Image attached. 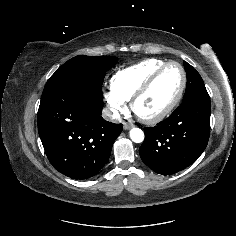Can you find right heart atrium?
Instances as JSON below:
<instances>
[{
  "label": "right heart atrium",
  "mask_w": 236,
  "mask_h": 236,
  "mask_svg": "<svg viewBox=\"0 0 236 236\" xmlns=\"http://www.w3.org/2000/svg\"><path fill=\"white\" fill-rule=\"evenodd\" d=\"M104 99L113 117L117 118L127 109V103L119 97L112 88L104 93Z\"/></svg>",
  "instance_id": "right-heart-atrium-1"
}]
</instances>
